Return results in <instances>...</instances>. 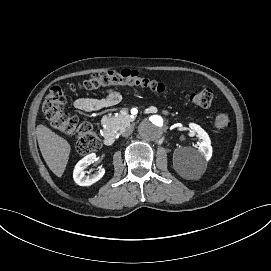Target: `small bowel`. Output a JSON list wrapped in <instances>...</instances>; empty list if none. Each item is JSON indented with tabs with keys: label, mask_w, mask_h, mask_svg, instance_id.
Returning a JSON list of instances; mask_svg holds the SVG:
<instances>
[{
	"label": "small bowel",
	"mask_w": 271,
	"mask_h": 271,
	"mask_svg": "<svg viewBox=\"0 0 271 271\" xmlns=\"http://www.w3.org/2000/svg\"><path fill=\"white\" fill-rule=\"evenodd\" d=\"M120 99L121 96L116 90L109 89L104 97H81L76 99L74 107L84 112H96L117 105Z\"/></svg>",
	"instance_id": "c3829d8e"
}]
</instances>
